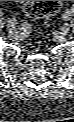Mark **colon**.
<instances>
[{
	"instance_id": "colon-1",
	"label": "colon",
	"mask_w": 74,
	"mask_h": 122,
	"mask_svg": "<svg viewBox=\"0 0 74 122\" xmlns=\"http://www.w3.org/2000/svg\"><path fill=\"white\" fill-rule=\"evenodd\" d=\"M47 3L48 5H46ZM56 10L53 1H29L25 6V12L29 16L43 17Z\"/></svg>"
}]
</instances>
